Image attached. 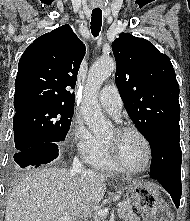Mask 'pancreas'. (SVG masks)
Segmentation results:
<instances>
[{"instance_id": "cf45deb5", "label": "pancreas", "mask_w": 190, "mask_h": 221, "mask_svg": "<svg viewBox=\"0 0 190 221\" xmlns=\"http://www.w3.org/2000/svg\"><path fill=\"white\" fill-rule=\"evenodd\" d=\"M118 214L125 221H140V218L133 212L129 201L123 202V207H119ZM93 221H100V217L95 216Z\"/></svg>"}]
</instances>
